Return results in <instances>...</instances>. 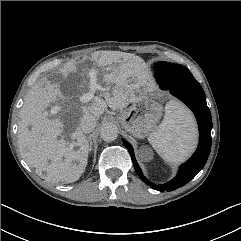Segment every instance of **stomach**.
I'll use <instances>...</instances> for the list:
<instances>
[{
	"mask_svg": "<svg viewBox=\"0 0 241 241\" xmlns=\"http://www.w3.org/2000/svg\"><path fill=\"white\" fill-rule=\"evenodd\" d=\"M162 111V105L154 94L143 93L129 108L121 109L118 120L127 132L143 138L155 130Z\"/></svg>",
	"mask_w": 241,
	"mask_h": 241,
	"instance_id": "obj_1",
	"label": "stomach"
}]
</instances>
